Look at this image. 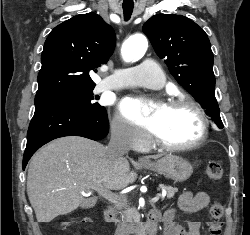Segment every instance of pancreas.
<instances>
[{"label": "pancreas", "mask_w": 250, "mask_h": 235, "mask_svg": "<svg viewBox=\"0 0 250 235\" xmlns=\"http://www.w3.org/2000/svg\"><path fill=\"white\" fill-rule=\"evenodd\" d=\"M162 190H165L167 192V199H171L174 197L175 193L178 191L177 188L172 186H161ZM116 205L119 206H125V203L122 198H116ZM139 214L136 212V210L132 207H126L125 211L122 212V218L126 222H133L139 220Z\"/></svg>", "instance_id": "pancreas-1"}]
</instances>
